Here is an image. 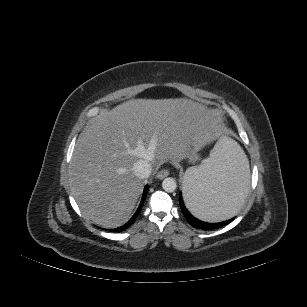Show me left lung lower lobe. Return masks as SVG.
I'll list each match as a JSON object with an SVG mask.
<instances>
[{
    "label": "left lung lower lobe",
    "instance_id": "left-lung-lower-lobe-1",
    "mask_svg": "<svg viewBox=\"0 0 307 307\" xmlns=\"http://www.w3.org/2000/svg\"><path fill=\"white\" fill-rule=\"evenodd\" d=\"M247 181L248 175L241 167L232 168L229 170V172H227L226 182L221 190V195L228 206L233 208L238 207L245 193ZM179 203L188 223L197 229H202L205 231L218 229L234 220V218H231L218 223H208L195 218L185 207L181 192L179 193Z\"/></svg>",
    "mask_w": 307,
    "mask_h": 307
}]
</instances>
